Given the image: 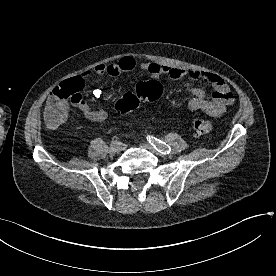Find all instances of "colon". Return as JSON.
Instances as JSON below:
<instances>
[{
	"instance_id": "colon-1",
	"label": "colon",
	"mask_w": 276,
	"mask_h": 276,
	"mask_svg": "<svg viewBox=\"0 0 276 276\" xmlns=\"http://www.w3.org/2000/svg\"><path fill=\"white\" fill-rule=\"evenodd\" d=\"M83 81L73 78L60 83L50 94V106L45 110V119L50 127H57L66 119L67 103L80 99ZM162 95V86L157 81L140 82L135 92L124 94L115 104L114 110L120 116H125L134 111L141 102H156ZM195 133L202 135L212 131L211 121L201 114H196L192 119Z\"/></svg>"
}]
</instances>
